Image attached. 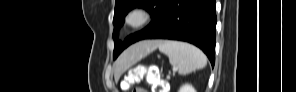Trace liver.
<instances>
[{"label":"liver","instance_id":"obj_1","mask_svg":"<svg viewBox=\"0 0 296 92\" xmlns=\"http://www.w3.org/2000/svg\"><path fill=\"white\" fill-rule=\"evenodd\" d=\"M159 41H142L125 50L114 63V76L118 80L123 72L154 51Z\"/></svg>","mask_w":296,"mask_h":92}]
</instances>
